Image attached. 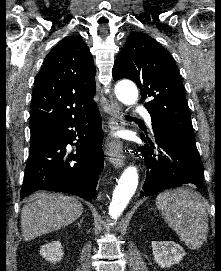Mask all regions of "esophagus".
Listing matches in <instances>:
<instances>
[{"label": "esophagus", "instance_id": "1", "mask_svg": "<svg viewBox=\"0 0 221 271\" xmlns=\"http://www.w3.org/2000/svg\"><path fill=\"white\" fill-rule=\"evenodd\" d=\"M110 106H109V131L111 134L115 133L116 131L123 129L125 126V123L121 116V110L120 106L115 103L112 99V96L110 95ZM106 153L109 157V161L118 168L123 167L124 165V147L123 142L117 138L116 136H113L106 145Z\"/></svg>", "mask_w": 221, "mask_h": 271}]
</instances>
